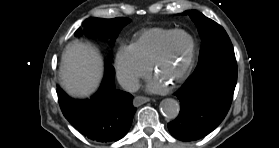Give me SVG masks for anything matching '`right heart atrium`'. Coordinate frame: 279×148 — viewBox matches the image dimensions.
<instances>
[{
  "label": "right heart atrium",
  "instance_id": "d8ad5b80",
  "mask_svg": "<svg viewBox=\"0 0 279 148\" xmlns=\"http://www.w3.org/2000/svg\"><path fill=\"white\" fill-rule=\"evenodd\" d=\"M115 66L119 81L127 89H134L139 80L147 77L150 72V67L136 55L131 46L118 50Z\"/></svg>",
  "mask_w": 279,
  "mask_h": 148
}]
</instances>
